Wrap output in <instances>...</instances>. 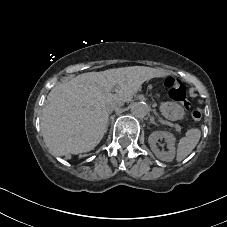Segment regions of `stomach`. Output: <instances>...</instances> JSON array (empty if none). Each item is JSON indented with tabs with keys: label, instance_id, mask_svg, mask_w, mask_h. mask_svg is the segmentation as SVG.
Segmentation results:
<instances>
[{
	"label": "stomach",
	"instance_id": "1",
	"mask_svg": "<svg viewBox=\"0 0 227 227\" xmlns=\"http://www.w3.org/2000/svg\"><path fill=\"white\" fill-rule=\"evenodd\" d=\"M161 114L168 120H180L184 117L183 108L176 102H163L160 105Z\"/></svg>",
	"mask_w": 227,
	"mask_h": 227
}]
</instances>
